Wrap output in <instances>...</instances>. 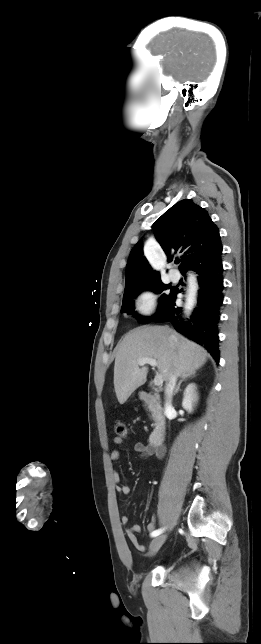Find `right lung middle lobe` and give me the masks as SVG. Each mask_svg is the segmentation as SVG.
<instances>
[{"label": "right lung middle lobe", "instance_id": "1", "mask_svg": "<svg viewBox=\"0 0 261 644\" xmlns=\"http://www.w3.org/2000/svg\"><path fill=\"white\" fill-rule=\"evenodd\" d=\"M166 289H171L170 293L165 294L163 293L160 298H159V307L156 315H154L152 318H145V317H138L136 313H134V299L136 296L142 292L143 290H152L156 294L162 293ZM176 289L171 288L170 284H164L159 281H154V282H145V283H140L133 285L129 288L125 289L124 296H123V303L121 307V312H126L128 314H133L136 316L139 320L140 323L146 324L150 322L155 316L160 315L164 309L167 307L168 303L171 301L173 296L175 295Z\"/></svg>", "mask_w": 261, "mask_h": 644}]
</instances>
